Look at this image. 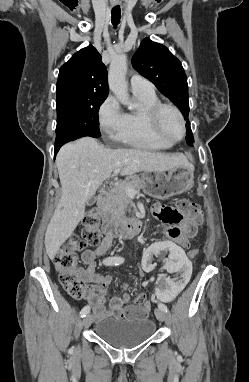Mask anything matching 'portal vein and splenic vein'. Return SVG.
Returning a JSON list of instances; mask_svg holds the SVG:
<instances>
[{
    "label": "portal vein and splenic vein",
    "mask_w": 249,
    "mask_h": 382,
    "mask_svg": "<svg viewBox=\"0 0 249 382\" xmlns=\"http://www.w3.org/2000/svg\"><path fill=\"white\" fill-rule=\"evenodd\" d=\"M119 172H120V169H115L113 173L118 174ZM126 191L127 192H133L134 190L130 187H126Z\"/></svg>",
    "instance_id": "18ae733b"
}]
</instances>
